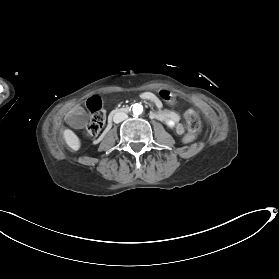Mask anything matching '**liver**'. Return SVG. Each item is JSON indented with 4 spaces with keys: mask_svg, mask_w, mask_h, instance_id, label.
<instances>
[{
    "mask_svg": "<svg viewBox=\"0 0 279 279\" xmlns=\"http://www.w3.org/2000/svg\"><path fill=\"white\" fill-rule=\"evenodd\" d=\"M64 139L67 145L74 151H78L80 148V140L77 135L70 129L64 130Z\"/></svg>",
    "mask_w": 279,
    "mask_h": 279,
    "instance_id": "liver-1",
    "label": "liver"
}]
</instances>
